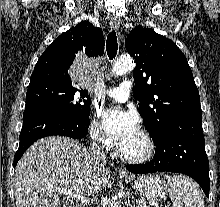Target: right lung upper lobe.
<instances>
[{
    "instance_id": "right-lung-upper-lobe-1",
    "label": "right lung upper lobe",
    "mask_w": 220,
    "mask_h": 207,
    "mask_svg": "<svg viewBox=\"0 0 220 207\" xmlns=\"http://www.w3.org/2000/svg\"><path fill=\"white\" fill-rule=\"evenodd\" d=\"M81 53L96 58L104 53V37L100 28L82 21L56 38L38 59L30 84L52 82L72 85L68 70Z\"/></svg>"
}]
</instances>
